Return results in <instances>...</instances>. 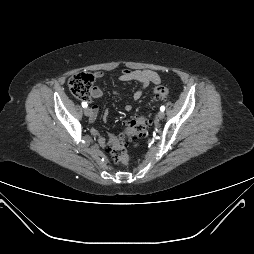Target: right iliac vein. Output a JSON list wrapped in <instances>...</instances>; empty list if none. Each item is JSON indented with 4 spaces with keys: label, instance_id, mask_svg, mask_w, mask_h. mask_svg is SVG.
Listing matches in <instances>:
<instances>
[{
    "label": "right iliac vein",
    "instance_id": "63e3f726",
    "mask_svg": "<svg viewBox=\"0 0 254 254\" xmlns=\"http://www.w3.org/2000/svg\"><path fill=\"white\" fill-rule=\"evenodd\" d=\"M84 114H85L86 116H90V115H91V109H90V108H85V109H84Z\"/></svg>",
    "mask_w": 254,
    "mask_h": 254
}]
</instances>
